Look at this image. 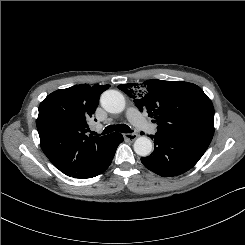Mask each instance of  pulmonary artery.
<instances>
[{
    "label": "pulmonary artery",
    "mask_w": 245,
    "mask_h": 245,
    "mask_svg": "<svg viewBox=\"0 0 245 245\" xmlns=\"http://www.w3.org/2000/svg\"><path fill=\"white\" fill-rule=\"evenodd\" d=\"M127 118L138 129L150 134H154L157 131V125L147 121L135 108H129L127 110Z\"/></svg>",
    "instance_id": "1"
}]
</instances>
